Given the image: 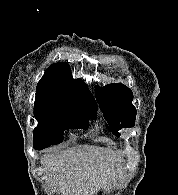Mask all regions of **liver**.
<instances>
[{"mask_svg":"<svg viewBox=\"0 0 178 195\" xmlns=\"http://www.w3.org/2000/svg\"><path fill=\"white\" fill-rule=\"evenodd\" d=\"M120 162L115 154L96 146H79L41 159L49 186L61 195H93L109 189Z\"/></svg>","mask_w":178,"mask_h":195,"instance_id":"obj_1","label":"liver"}]
</instances>
